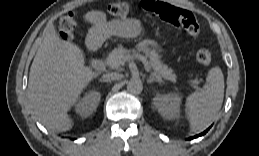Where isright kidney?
Returning a JSON list of instances; mask_svg holds the SVG:
<instances>
[{"mask_svg": "<svg viewBox=\"0 0 259 156\" xmlns=\"http://www.w3.org/2000/svg\"><path fill=\"white\" fill-rule=\"evenodd\" d=\"M101 99V94L98 91H88L78 102L75 104V111L82 118L89 117L98 107Z\"/></svg>", "mask_w": 259, "mask_h": 156, "instance_id": "right-kidney-1", "label": "right kidney"}]
</instances>
